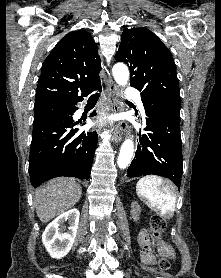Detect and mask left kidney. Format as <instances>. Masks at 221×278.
<instances>
[{"label": "left kidney", "mask_w": 221, "mask_h": 278, "mask_svg": "<svg viewBox=\"0 0 221 278\" xmlns=\"http://www.w3.org/2000/svg\"><path fill=\"white\" fill-rule=\"evenodd\" d=\"M132 209H133V213L135 215V218L138 219L139 218V214L141 212V208L140 206L138 205V203L136 202H133L132 205H131Z\"/></svg>", "instance_id": "left-kidney-1"}]
</instances>
